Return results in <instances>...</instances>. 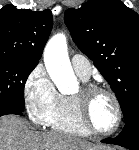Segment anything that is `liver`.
<instances>
[{"label":"liver","mask_w":139,"mask_h":150,"mask_svg":"<svg viewBox=\"0 0 139 150\" xmlns=\"http://www.w3.org/2000/svg\"><path fill=\"white\" fill-rule=\"evenodd\" d=\"M90 142L55 132H36L25 119L8 115L0 118V150H97Z\"/></svg>","instance_id":"1"}]
</instances>
